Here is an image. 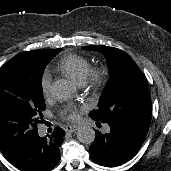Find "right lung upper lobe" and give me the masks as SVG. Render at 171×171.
<instances>
[{
	"label": "right lung upper lobe",
	"instance_id": "right-lung-upper-lobe-1",
	"mask_svg": "<svg viewBox=\"0 0 171 171\" xmlns=\"http://www.w3.org/2000/svg\"><path fill=\"white\" fill-rule=\"evenodd\" d=\"M48 50H50V49H48ZM48 50L42 49V50H33V51L46 52Z\"/></svg>",
	"mask_w": 171,
	"mask_h": 171
}]
</instances>
